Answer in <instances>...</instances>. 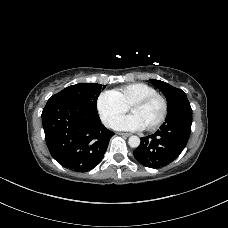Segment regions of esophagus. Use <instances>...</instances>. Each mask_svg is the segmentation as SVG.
I'll use <instances>...</instances> for the list:
<instances>
[{
	"instance_id": "1",
	"label": "esophagus",
	"mask_w": 228,
	"mask_h": 228,
	"mask_svg": "<svg viewBox=\"0 0 228 228\" xmlns=\"http://www.w3.org/2000/svg\"><path fill=\"white\" fill-rule=\"evenodd\" d=\"M117 134L124 137H129L131 135L130 133H124V132H118Z\"/></svg>"
}]
</instances>
